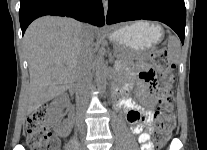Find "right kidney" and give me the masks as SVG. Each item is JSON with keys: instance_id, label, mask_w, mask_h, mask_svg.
Here are the masks:
<instances>
[{"instance_id": "right-kidney-1", "label": "right kidney", "mask_w": 207, "mask_h": 150, "mask_svg": "<svg viewBox=\"0 0 207 150\" xmlns=\"http://www.w3.org/2000/svg\"><path fill=\"white\" fill-rule=\"evenodd\" d=\"M68 102H69L68 96L65 94L59 95L51 102L48 109V114H49L50 122L53 126L58 123L61 117V112L66 107Z\"/></svg>"}]
</instances>
